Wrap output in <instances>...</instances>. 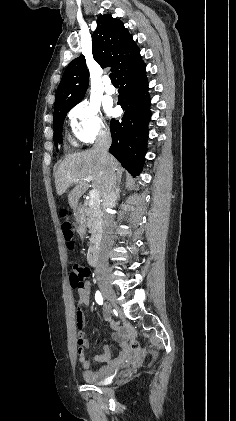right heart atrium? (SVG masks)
Masks as SVG:
<instances>
[{"label": "right heart atrium", "mask_w": 236, "mask_h": 421, "mask_svg": "<svg viewBox=\"0 0 236 421\" xmlns=\"http://www.w3.org/2000/svg\"><path fill=\"white\" fill-rule=\"evenodd\" d=\"M73 134L84 144H91L109 134L105 116L98 104L84 100L69 113Z\"/></svg>", "instance_id": "1"}]
</instances>
